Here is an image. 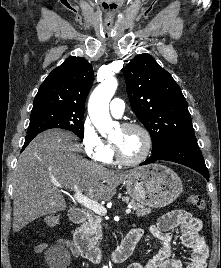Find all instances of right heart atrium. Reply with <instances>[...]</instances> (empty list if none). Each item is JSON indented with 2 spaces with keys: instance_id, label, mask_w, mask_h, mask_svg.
Returning a JSON list of instances; mask_svg holds the SVG:
<instances>
[{
  "instance_id": "right-heart-atrium-1",
  "label": "right heart atrium",
  "mask_w": 221,
  "mask_h": 268,
  "mask_svg": "<svg viewBox=\"0 0 221 268\" xmlns=\"http://www.w3.org/2000/svg\"><path fill=\"white\" fill-rule=\"evenodd\" d=\"M81 143L88 158L96 162H104L110 151V145L101 138L88 117L82 123Z\"/></svg>"
}]
</instances>
